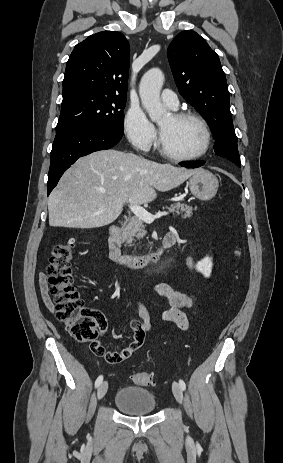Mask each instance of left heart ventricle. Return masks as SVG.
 <instances>
[{
	"instance_id": "left-heart-ventricle-1",
	"label": "left heart ventricle",
	"mask_w": 283,
	"mask_h": 463,
	"mask_svg": "<svg viewBox=\"0 0 283 463\" xmlns=\"http://www.w3.org/2000/svg\"><path fill=\"white\" fill-rule=\"evenodd\" d=\"M158 125L161 142L169 152L189 156L202 149L204 131L197 121L192 119L176 121L169 115Z\"/></svg>"
}]
</instances>
